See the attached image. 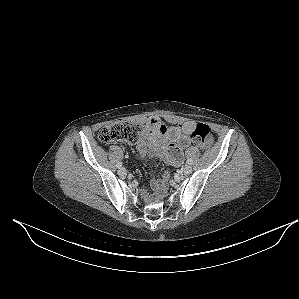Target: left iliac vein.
I'll return each mask as SVG.
<instances>
[{
  "label": "left iliac vein",
  "instance_id": "1",
  "mask_svg": "<svg viewBox=\"0 0 299 299\" xmlns=\"http://www.w3.org/2000/svg\"><path fill=\"white\" fill-rule=\"evenodd\" d=\"M182 172L184 175H189L192 172V167L190 165H185Z\"/></svg>",
  "mask_w": 299,
  "mask_h": 299
}]
</instances>
